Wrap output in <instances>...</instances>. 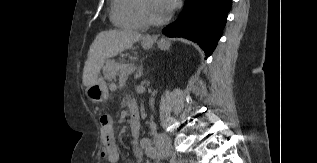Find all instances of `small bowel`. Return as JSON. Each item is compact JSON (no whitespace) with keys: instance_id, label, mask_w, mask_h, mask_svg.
<instances>
[{"instance_id":"1","label":"small bowel","mask_w":317,"mask_h":163,"mask_svg":"<svg viewBox=\"0 0 317 163\" xmlns=\"http://www.w3.org/2000/svg\"><path fill=\"white\" fill-rule=\"evenodd\" d=\"M130 112H138L133 102L129 104ZM101 126V152L100 156L106 163H118L119 151L116 144L114 135V126L111 118L103 116L100 118ZM133 145L137 150V160L134 163H140L141 153H145L150 159L147 163L156 162L159 163V154L153 148L152 143L149 139L134 140Z\"/></svg>"}]
</instances>
